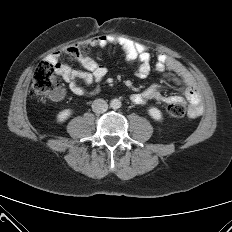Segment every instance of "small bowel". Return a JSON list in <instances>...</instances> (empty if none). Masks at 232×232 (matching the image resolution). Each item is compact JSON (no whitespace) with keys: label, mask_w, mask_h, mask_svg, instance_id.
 Segmentation results:
<instances>
[{"label":"small bowel","mask_w":232,"mask_h":232,"mask_svg":"<svg viewBox=\"0 0 232 232\" xmlns=\"http://www.w3.org/2000/svg\"><path fill=\"white\" fill-rule=\"evenodd\" d=\"M94 44L106 46L115 44L120 46L129 56L134 65V74L138 78H146L152 67L162 72L168 79L176 84H181L182 97L177 95H165L161 91V85L155 83L141 92L131 94L130 101L134 104H143L150 100H158L164 103L182 102L185 98L189 102L190 117H198L202 114L203 106L199 89L192 73L176 58L160 52L153 58L149 50L142 44L117 35H102L91 40ZM49 60L54 62L56 73L66 82L68 90L78 96L93 95L100 91L101 82L107 76V68L99 65L88 57L78 59L82 70L57 61L55 55H50ZM93 86L92 89H89ZM66 90L51 97L54 101L62 100Z\"/></svg>","instance_id":"small-bowel-1"}]
</instances>
